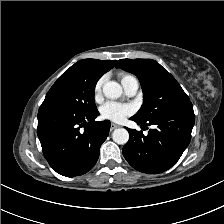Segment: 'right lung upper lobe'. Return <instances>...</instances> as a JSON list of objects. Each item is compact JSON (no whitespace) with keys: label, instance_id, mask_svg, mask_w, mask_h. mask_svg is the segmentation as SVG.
<instances>
[{"label":"right lung upper lobe","instance_id":"1","mask_svg":"<svg viewBox=\"0 0 224 224\" xmlns=\"http://www.w3.org/2000/svg\"><path fill=\"white\" fill-rule=\"evenodd\" d=\"M80 64H84L91 68L92 70L104 74L107 71H109L111 68H113L116 64V60H97V59H84L78 61Z\"/></svg>","mask_w":224,"mask_h":224}]
</instances>
